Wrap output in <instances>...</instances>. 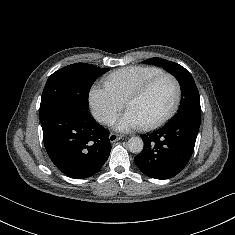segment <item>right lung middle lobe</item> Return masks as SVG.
<instances>
[{"label": "right lung middle lobe", "instance_id": "right-lung-middle-lobe-1", "mask_svg": "<svg viewBox=\"0 0 235 235\" xmlns=\"http://www.w3.org/2000/svg\"><path fill=\"white\" fill-rule=\"evenodd\" d=\"M109 69L91 64L76 63L53 73L44 87L39 117L60 105H71L88 110V95L92 84Z\"/></svg>", "mask_w": 235, "mask_h": 235}]
</instances>
